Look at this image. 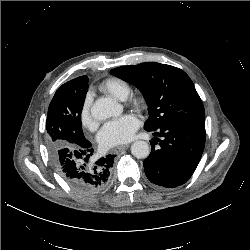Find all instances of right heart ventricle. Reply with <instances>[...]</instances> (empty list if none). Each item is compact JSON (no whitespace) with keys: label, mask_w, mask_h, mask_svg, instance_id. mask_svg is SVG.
Returning a JSON list of instances; mask_svg holds the SVG:
<instances>
[{"label":"right heart ventricle","mask_w":250,"mask_h":250,"mask_svg":"<svg viewBox=\"0 0 250 250\" xmlns=\"http://www.w3.org/2000/svg\"><path fill=\"white\" fill-rule=\"evenodd\" d=\"M98 89L118 100L126 99L132 90L131 85L126 80L119 77H110L106 79L99 85Z\"/></svg>","instance_id":"obj_1"}]
</instances>
